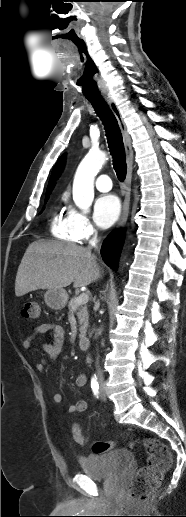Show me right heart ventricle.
Segmentation results:
<instances>
[{
  "instance_id": "obj_1",
  "label": "right heart ventricle",
  "mask_w": 186,
  "mask_h": 517,
  "mask_svg": "<svg viewBox=\"0 0 186 517\" xmlns=\"http://www.w3.org/2000/svg\"><path fill=\"white\" fill-rule=\"evenodd\" d=\"M50 230L54 237L66 242L74 243L77 238L71 227L68 215L63 211H57L53 214L50 223Z\"/></svg>"
}]
</instances>
